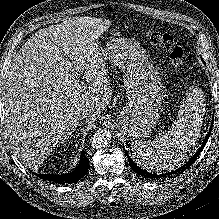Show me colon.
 <instances>
[{
	"label": "colon",
	"instance_id": "colon-1",
	"mask_svg": "<svg viewBox=\"0 0 219 219\" xmlns=\"http://www.w3.org/2000/svg\"><path fill=\"white\" fill-rule=\"evenodd\" d=\"M146 36L153 45L168 52L170 61L176 71L183 69L186 52L180 42L169 34L159 32H148Z\"/></svg>",
	"mask_w": 219,
	"mask_h": 219
}]
</instances>
